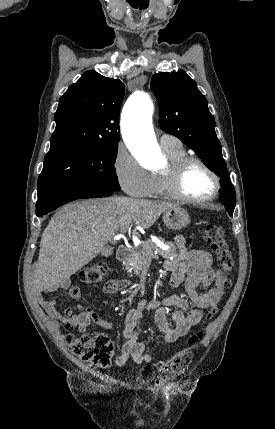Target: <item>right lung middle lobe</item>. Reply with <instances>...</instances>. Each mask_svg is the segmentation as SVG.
<instances>
[{"mask_svg":"<svg viewBox=\"0 0 275 429\" xmlns=\"http://www.w3.org/2000/svg\"><path fill=\"white\" fill-rule=\"evenodd\" d=\"M118 145L70 146L50 150L38 178V198L75 186L119 191L115 173Z\"/></svg>","mask_w":275,"mask_h":429,"instance_id":"1","label":"right lung middle lobe"}]
</instances>
